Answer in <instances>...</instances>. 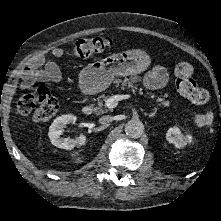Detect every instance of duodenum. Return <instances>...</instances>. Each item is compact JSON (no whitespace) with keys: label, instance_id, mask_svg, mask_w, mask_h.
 Listing matches in <instances>:
<instances>
[{"label":"duodenum","instance_id":"duodenum-1","mask_svg":"<svg viewBox=\"0 0 221 221\" xmlns=\"http://www.w3.org/2000/svg\"><path fill=\"white\" fill-rule=\"evenodd\" d=\"M93 111L92 107L91 106H84L82 108V113L85 114V115H89L91 114Z\"/></svg>","mask_w":221,"mask_h":221}]
</instances>
